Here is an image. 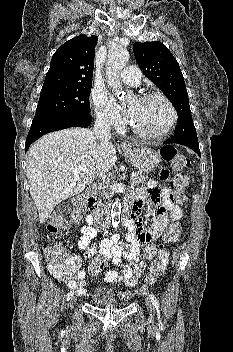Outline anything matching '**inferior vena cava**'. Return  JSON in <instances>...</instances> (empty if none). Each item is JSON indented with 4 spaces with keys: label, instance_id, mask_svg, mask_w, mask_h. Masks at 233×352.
<instances>
[{
    "label": "inferior vena cava",
    "instance_id": "602c4592",
    "mask_svg": "<svg viewBox=\"0 0 233 352\" xmlns=\"http://www.w3.org/2000/svg\"><path fill=\"white\" fill-rule=\"evenodd\" d=\"M110 121L106 117L98 116L94 123L93 133L97 139L108 142L111 139ZM106 188V187H104ZM104 188L99 190V195L104 199L106 192Z\"/></svg>",
    "mask_w": 233,
    "mask_h": 352
}]
</instances>
